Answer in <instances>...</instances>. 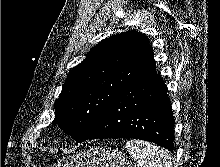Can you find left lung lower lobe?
Returning <instances> with one entry per match:
<instances>
[{"mask_svg":"<svg viewBox=\"0 0 220 167\" xmlns=\"http://www.w3.org/2000/svg\"><path fill=\"white\" fill-rule=\"evenodd\" d=\"M174 118L166 85L155 69L125 86L86 139L135 138L174 150Z\"/></svg>","mask_w":220,"mask_h":167,"instance_id":"1","label":"left lung lower lobe"}]
</instances>
